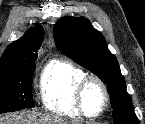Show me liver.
<instances>
[{
    "instance_id": "obj_1",
    "label": "liver",
    "mask_w": 145,
    "mask_h": 124,
    "mask_svg": "<svg viewBox=\"0 0 145 124\" xmlns=\"http://www.w3.org/2000/svg\"><path fill=\"white\" fill-rule=\"evenodd\" d=\"M0 124H68V122L54 115L27 111L22 112L19 116L0 117Z\"/></svg>"
}]
</instances>
